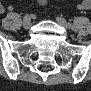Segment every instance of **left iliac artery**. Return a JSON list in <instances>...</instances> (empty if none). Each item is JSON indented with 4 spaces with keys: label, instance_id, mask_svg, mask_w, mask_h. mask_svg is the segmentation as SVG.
Returning <instances> with one entry per match:
<instances>
[{
    "label": "left iliac artery",
    "instance_id": "left-iliac-artery-1",
    "mask_svg": "<svg viewBox=\"0 0 91 91\" xmlns=\"http://www.w3.org/2000/svg\"><path fill=\"white\" fill-rule=\"evenodd\" d=\"M67 26H68V27H72V26H74V25H73L71 22H68V23H67Z\"/></svg>",
    "mask_w": 91,
    "mask_h": 91
}]
</instances>
